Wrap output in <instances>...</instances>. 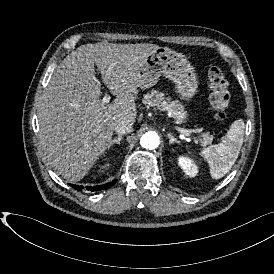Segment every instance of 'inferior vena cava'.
Returning a JSON list of instances; mask_svg holds the SVG:
<instances>
[{
	"instance_id": "602c4592",
	"label": "inferior vena cava",
	"mask_w": 274,
	"mask_h": 274,
	"mask_svg": "<svg viewBox=\"0 0 274 274\" xmlns=\"http://www.w3.org/2000/svg\"><path fill=\"white\" fill-rule=\"evenodd\" d=\"M133 131V123L129 120L121 121L115 126V132L119 135L127 134Z\"/></svg>"
}]
</instances>
